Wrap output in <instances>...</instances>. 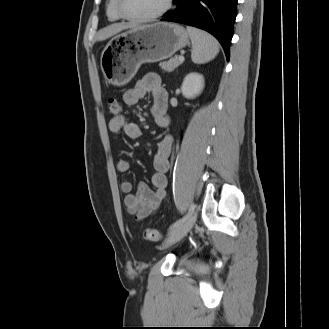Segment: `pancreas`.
I'll use <instances>...</instances> for the list:
<instances>
[{
    "label": "pancreas",
    "mask_w": 329,
    "mask_h": 329,
    "mask_svg": "<svg viewBox=\"0 0 329 329\" xmlns=\"http://www.w3.org/2000/svg\"><path fill=\"white\" fill-rule=\"evenodd\" d=\"M181 63L182 62L179 61L178 57H173V58H170L168 61L160 63V66L164 71L172 72Z\"/></svg>",
    "instance_id": "obj_1"
}]
</instances>
